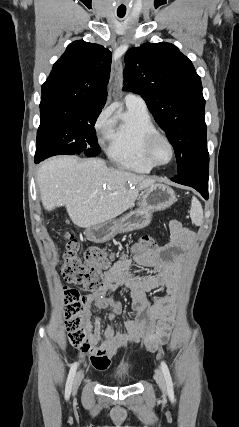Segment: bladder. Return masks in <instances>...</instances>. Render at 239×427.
<instances>
[{"mask_svg": "<svg viewBox=\"0 0 239 427\" xmlns=\"http://www.w3.org/2000/svg\"><path fill=\"white\" fill-rule=\"evenodd\" d=\"M111 379L117 384H125L130 380V372L126 369L119 370L112 375Z\"/></svg>", "mask_w": 239, "mask_h": 427, "instance_id": "1", "label": "bladder"}]
</instances>
